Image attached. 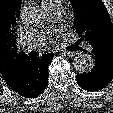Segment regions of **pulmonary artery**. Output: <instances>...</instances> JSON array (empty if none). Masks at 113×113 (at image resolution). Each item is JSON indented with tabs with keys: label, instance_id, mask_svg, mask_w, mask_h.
<instances>
[{
	"label": "pulmonary artery",
	"instance_id": "e3ab8cb5",
	"mask_svg": "<svg viewBox=\"0 0 113 113\" xmlns=\"http://www.w3.org/2000/svg\"><path fill=\"white\" fill-rule=\"evenodd\" d=\"M47 13L51 19H56L61 15L62 6L60 0H54L53 2L45 5ZM44 43V37L39 35L32 38H28L23 44V47L27 51H32L42 46Z\"/></svg>",
	"mask_w": 113,
	"mask_h": 113
}]
</instances>
